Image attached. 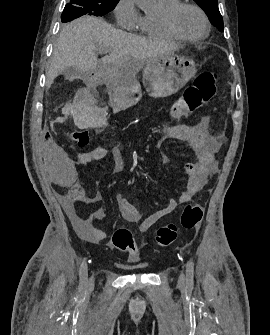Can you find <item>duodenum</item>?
<instances>
[{"label":"duodenum","mask_w":270,"mask_h":335,"mask_svg":"<svg viewBox=\"0 0 270 335\" xmlns=\"http://www.w3.org/2000/svg\"><path fill=\"white\" fill-rule=\"evenodd\" d=\"M109 90L112 96V104L116 109H121L125 104V93L123 87L118 83H110Z\"/></svg>","instance_id":"duodenum-1"}]
</instances>
